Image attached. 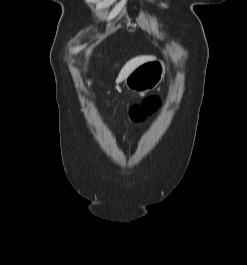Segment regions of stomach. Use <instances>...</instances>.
Instances as JSON below:
<instances>
[{
  "instance_id": "stomach-1",
  "label": "stomach",
  "mask_w": 247,
  "mask_h": 265,
  "mask_svg": "<svg viewBox=\"0 0 247 265\" xmlns=\"http://www.w3.org/2000/svg\"><path fill=\"white\" fill-rule=\"evenodd\" d=\"M166 71L160 60L148 61L137 67L126 79V87L137 93L149 92L162 82Z\"/></svg>"
}]
</instances>
